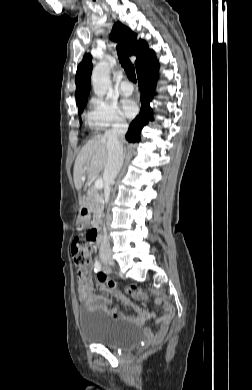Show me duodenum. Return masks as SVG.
<instances>
[{
    "label": "duodenum",
    "instance_id": "duodenum-1",
    "mask_svg": "<svg viewBox=\"0 0 252 390\" xmlns=\"http://www.w3.org/2000/svg\"><path fill=\"white\" fill-rule=\"evenodd\" d=\"M90 219H91V211L88 207H84L81 211V221L84 225H89L91 222H90ZM91 230L93 231L94 233V236L92 238V241L95 243L98 241L99 239V234H98V229L96 227V225H92V228Z\"/></svg>",
    "mask_w": 252,
    "mask_h": 390
}]
</instances>
